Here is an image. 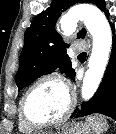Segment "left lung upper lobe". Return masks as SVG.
Instances as JSON below:
<instances>
[{
	"label": "left lung upper lobe",
	"mask_w": 116,
	"mask_h": 134,
	"mask_svg": "<svg viewBox=\"0 0 116 134\" xmlns=\"http://www.w3.org/2000/svg\"><path fill=\"white\" fill-rule=\"evenodd\" d=\"M83 0H53L50 7L38 14L25 32L24 47L20 54L19 69L16 74L18 90L29 86L37 78L60 69L71 79L75 70L66 54V44L55 30V23L61 13ZM106 12L104 0H87ZM86 31L78 33L84 38Z\"/></svg>",
	"instance_id": "left-lung-upper-lobe-1"
}]
</instances>
